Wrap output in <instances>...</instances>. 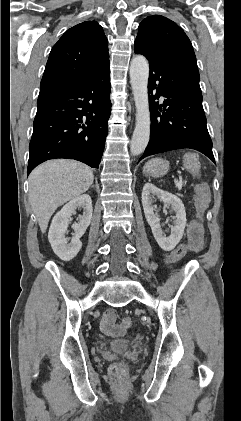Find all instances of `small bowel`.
Masks as SVG:
<instances>
[{"mask_svg": "<svg viewBox=\"0 0 241 421\" xmlns=\"http://www.w3.org/2000/svg\"><path fill=\"white\" fill-rule=\"evenodd\" d=\"M188 234V249L190 251H200L205 245V235L201 225L192 221L187 228ZM100 327L102 331L111 336H121L126 333L127 326L116 323V311L108 309L105 311L101 321Z\"/></svg>", "mask_w": 241, "mask_h": 421, "instance_id": "obj_1", "label": "small bowel"}]
</instances>
